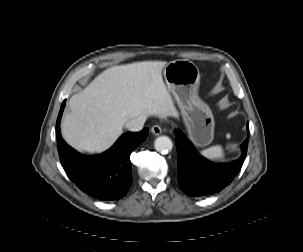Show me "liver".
<instances>
[{
  "label": "liver",
  "instance_id": "obj_1",
  "mask_svg": "<svg viewBox=\"0 0 303 252\" xmlns=\"http://www.w3.org/2000/svg\"><path fill=\"white\" fill-rule=\"evenodd\" d=\"M165 61L113 66L99 74L69 101L61 124L63 138L89 153L108 149L130 120L150 115L175 117L178 112L164 84Z\"/></svg>",
  "mask_w": 303,
  "mask_h": 252
}]
</instances>
